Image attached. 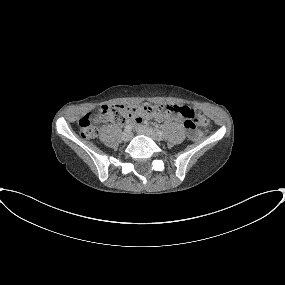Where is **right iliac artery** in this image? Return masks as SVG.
Listing matches in <instances>:
<instances>
[{
    "mask_svg": "<svg viewBox=\"0 0 285 285\" xmlns=\"http://www.w3.org/2000/svg\"><path fill=\"white\" fill-rule=\"evenodd\" d=\"M132 129V125L131 124H127L125 126V131H130Z\"/></svg>",
    "mask_w": 285,
    "mask_h": 285,
    "instance_id": "1",
    "label": "right iliac artery"
}]
</instances>
